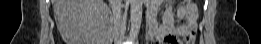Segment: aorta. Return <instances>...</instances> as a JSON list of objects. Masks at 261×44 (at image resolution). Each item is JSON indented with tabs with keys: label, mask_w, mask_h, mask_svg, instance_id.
Segmentation results:
<instances>
[{
	"label": "aorta",
	"mask_w": 261,
	"mask_h": 44,
	"mask_svg": "<svg viewBox=\"0 0 261 44\" xmlns=\"http://www.w3.org/2000/svg\"><path fill=\"white\" fill-rule=\"evenodd\" d=\"M142 5L143 0H130V17L132 37L137 38L142 21Z\"/></svg>",
	"instance_id": "1"
}]
</instances>
